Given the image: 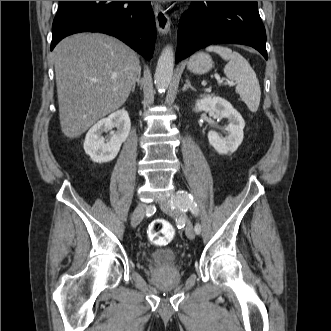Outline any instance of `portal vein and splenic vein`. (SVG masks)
Wrapping results in <instances>:
<instances>
[{"label":"portal vein and splenic vein","instance_id":"18ae733b","mask_svg":"<svg viewBox=\"0 0 331 331\" xmlns=\"http://www.w3.org/2000/svg\"><path fill=\"white\" fill-rule=\"evenodd\" d=\"M217 80H218V83H219V84H222L223 81H224V79H221V78H218ZM227 83L230 84V85L233 84V82H227Z\"/></svg>","mask_w":331,"mask_h":331}]
</instances>
